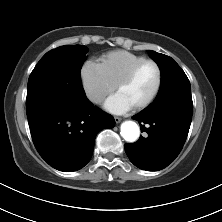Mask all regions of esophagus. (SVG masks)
I'll return each instance as SVG.
<instances>
[{"mask_svg":"<svg viewBox=\"0 0 222 222\" xmlns=\"http://www.w3.org/2000/svg\"><path fill=\"white\" fill-rule=\"evenodd\" d=\"M114 120L116 123H120L122 118L121 117H114Z\"/></svg>","mask_w":222,"mask_h":222,"instance_id":"obj_1","label":"esophagus"}]
</instances>
